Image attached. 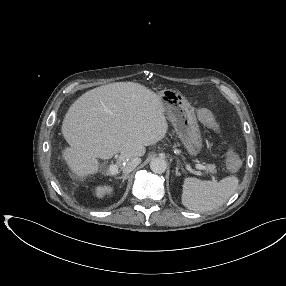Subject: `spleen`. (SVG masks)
Here are the masks:
<instances>
[{
    "instance_id": "3e777b00",
    "label": "spleen",
    "mask_w": 286,
    "mask_h": 286,
    "mask_svg": "<svg viewBox=\"0 0 286 286\" xmlns=\"http://www.w3.org/2000/svg\"><path fill=\"white\" fill-rule=\"evenodd\" d=\"M238 178L228 176L219 182L202 181L194 177L184 179L182 204L195 212H206L225 204L238 187Z\"/></svg>"
}]
</instances>
